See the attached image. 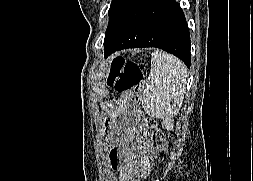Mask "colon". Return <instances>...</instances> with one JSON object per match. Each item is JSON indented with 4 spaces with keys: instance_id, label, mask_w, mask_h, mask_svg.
I'll return each instance as SVG.
<instances>
[{
    "instance_id": "obj_1",
    "label": "colon",
    "mask_w": 253,
    "mask_h": 181,
    "mask_svg": "<svg viewBox=\"0 0 253 181\" xmlns=\"http://www.w3.org/2000/svg\"><path fill=\"white\" fill-rule=\"evenodd\" d=\"M108 82L115 85L117 91L121 93H133L137 101L141 100L143 91V72L140 65L133 61L125 62L121 58H114L111 63V70ZM140 121V119L138 120ZM149 126L154 128L152 137L154 140L164 142V133L155 128L153 120H147Z\"/></svg>"
}]
</instances>
